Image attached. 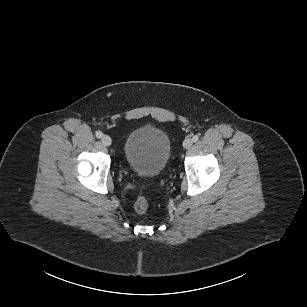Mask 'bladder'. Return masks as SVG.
Instances as JSON below:
<instances>
[{"label":"bladder","mask_w":307,"mask_h":307,"mask_svg":"<svg viewBox=\"0 0 307 307\" xmlns=\"http://www.w3.org/2000/svg\"><path fill=\"white\" fill-rule=\"evenodd\" d=\"M124 159L129 169L144 178H155L166 168L171 155L168 135L152 125L133 129L123 147Z\"/></svg>","instance_id":"obj_1"}]
</instances>
